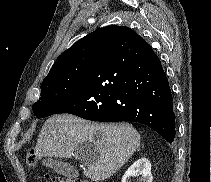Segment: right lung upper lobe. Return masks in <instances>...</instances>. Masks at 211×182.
Returning <instances> with one entry per match:
<instances>
[{
  "mask_svg": "<svg viewBox=\"0 0 211 182\" xmlns=\"http://www.w3.org/2000/svg\"><path fill=\"white\" fill-rule=\"evenodd\" d=\"M122 27V26H117ZM127 29V33L130 37V40L133 43L141 44L144 40L133 30L124 27ZM102 28L97 31L91 32L79 41H77L73 46L64 51L55 61L52 66L49 74L46 77L54 75L61 69H66L71 66L87 64L91 62L95 44L97 41V36Z\"/></svg>",
  "mask_w": 211,
  "mask_h": 182,
  "instance_id": "obj_1",
  "label": "right lung upper lobe"
}]
</instances>
